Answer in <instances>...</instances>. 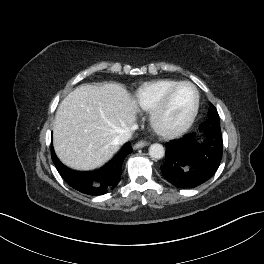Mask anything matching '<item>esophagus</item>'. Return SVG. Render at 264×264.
Here are the masks:
<instances>
[{
	"label": "esophagus",
	"instance_id": "1",
	"mask_svg": "<svg viewBox=\"0 0 264 264\" xmlns=\"http://www.w3.org/2000/svg\"><path fill=\"white\" fill-rule=\"evenodd\" d=\"M148 144H149L148 142L141 140V141H138L136 144H134L133 148L134 149L144 148Z\"/></svg>",
	"mask_w": 264,
	"mask_h": 264
}]
</instances>
